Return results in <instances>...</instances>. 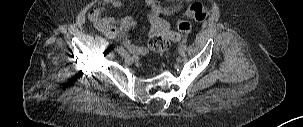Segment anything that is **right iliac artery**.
Segmentation results:
<instances>
[{"label": "right iliac artery", "mask_w": 303, "mask_h": 127, "mask_svg": "<svg viewBox=\"0 0 303 127\" xmlns=\"http://www.w3.org/2000/svg\"><path fill=\"white\" fill-rule=\"evenodd\" d=\"M110 44L114 50H118L117 44H115L113 41H110Z\"/></svg>", "instance_id": "obj_1"}]
</instances>
